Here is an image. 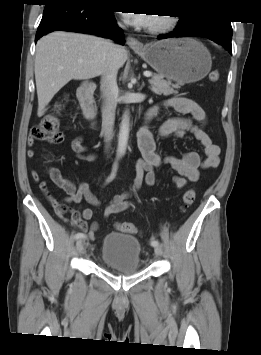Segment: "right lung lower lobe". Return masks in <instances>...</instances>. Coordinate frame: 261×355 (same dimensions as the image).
I'll list each match as a JSON object with an SVG mask.
<instances>
[{
	"label": "right lung lower lobe",
	"mask_w": 261,
	"mask_h": 355,
	"mask_svg": "<svg viewBox=\"0 0 261 355\" xmlns=\"http://www.w3.org/2000/svg\"><path fill=\"white\" fill-rule=\"evenodd\" d=\"M53 31H70L107 36L124 44L123 32L117 27L113 10L85 0H54L45 3L35 42Z\"/></svg>",
	"instance_id": "98d812e1"
}]
</instances>
